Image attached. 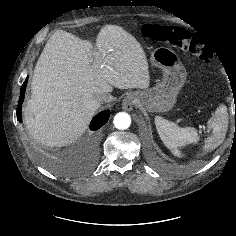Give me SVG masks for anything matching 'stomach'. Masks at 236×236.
I'll use <instances>...</instances> for the list:
<instances>
[{
  "label": "stomach",
  "instance_id": "stomach-1",
  "mask_svg": "<svg viewBox=\"0 0 236 236\" xmlns=\"http://www.w3.org/2000/svg\"><path fill=\"white\" fill-rule=\"evenodd\" d=\"M150 61L163 71V79L153 87L136 91L135 103L149 112H167L173 108L186 81V69L178 55L166 47L156 48Z\"/></svg>",
  "mask_w": 236,
  "mask_h": 236
}]
</instances>
